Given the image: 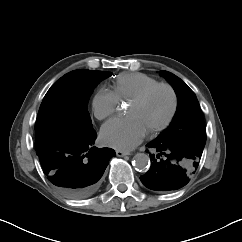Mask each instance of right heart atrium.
Listing matches in <instances>:
<instances>
[{"label":"right heart atrium","instance_id":"obj_1","mask_svg":"<svg viewBox=\"0 0 242 242\" xmlns=\"http://www.w3.org/2000/svg\"><path fill=\"white\" fill-rule=\"evenodd\" d=\"M119 107V98L116 93L106 87L100 88L92 99L94 116L103 120L114 114Z\"/></svg>","mask_w":242,"mask_h":242}]
</instances>
